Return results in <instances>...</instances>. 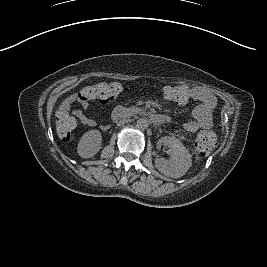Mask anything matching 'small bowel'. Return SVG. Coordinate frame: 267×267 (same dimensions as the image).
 Listing matches in <instances>:
<instances>
[{
    "mask_svg": "<svg viewBox=\"0 0 267 267\" xmlns=\"http://www.w3.org/2000/svg\"><path fill=\"white\" fill-rule=\"evenodd\" d=\"M180 88L188 92V98L182 104H186L190 100L200 102L199 105L193 109L190 119L185 121V130L195 133L200 129H211L214 125L213 112L216 107V98L213 93L201 86H180ZM77 101L81 104L84 110L88 108L89 104L79 100L76 94H70L62 102L61 110L65 112L73 110L74 116L78 119L81 125L95 127L97 125L95 119L87 118L80 109L73 108Z\"/></svg>",
    "mask_w": 267,
    "mask_h": 267,
    "instance_id": "c3829d8e",
    "label": "small bowel"
}]
</instances>
